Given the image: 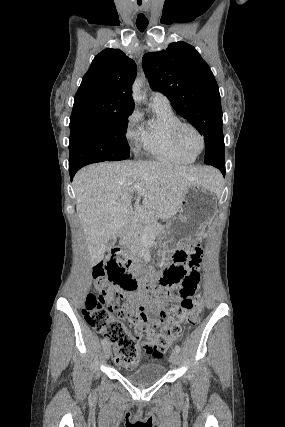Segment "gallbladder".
Instances as JSON below:
<instances>
[{"instance_id":"1","label":"gallbladder","mask_w":285,"mask_h":427,"mask_svg":"<svg viewBox=\"0 0 285 427\" xmlns=\"http://www.w3.org/2000/svg\"><path fill=\"white\" fill-rule=\"evenodd\" d=\"M114 244H115V240H114V238H111V239L107 242L106 250H110V249L114 246Z\"/></svg>"}]
</instances>
